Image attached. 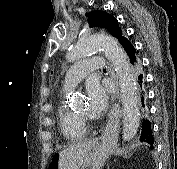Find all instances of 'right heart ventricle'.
<instances>
[{
    "label": "right heart ventricle",
    "mask_w": 177,
    "mask_h": 169,
    "mask_svg": "<svg viewBox=\"0 0 177 169\" xmlns=\"http://www.w3.org/2000/svg\"><path fill=\"white\" fill-rule=\"evenodd\" d=\"M67 91V90H66ZM60 131L69 141L82 140L87 136V128L77 114L66 108L63 103L58 108Z\"/></svg>",
    "instance_id": "e07e8e85"
}]
</instances>
